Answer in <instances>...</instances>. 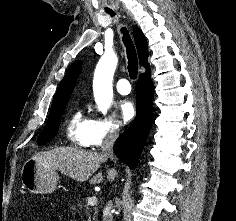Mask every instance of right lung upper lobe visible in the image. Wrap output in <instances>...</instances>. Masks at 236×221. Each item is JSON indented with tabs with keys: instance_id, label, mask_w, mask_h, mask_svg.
<instances>
[{
	"instance_id": "cb5924a9",
	"label": "right lung upper lobe",
	"mask_w": 236,
	"mask_h": 221,
	"mask_svg": "<svg viewBox=\"0 0 236 221\" xmlns=\"http://www.w3.org/2000/svg\"><path fill=\"white\" fill-rule=\"evenodd\" d=\"M134 40L138 51L140 65L146 68V71L150 70V66L148 64V49H147V41L142 31L138 28H134ZM81 70V62L77 61L73 63L69 69L67 70L61 84L53 98L52 107H55L59 104L65 103L69 100L72 91L74 89L75 83L79 76Z\"/></svg>"
}]
</instances>
